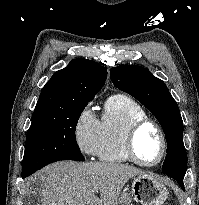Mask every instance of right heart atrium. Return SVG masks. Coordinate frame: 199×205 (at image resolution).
<instances>
[{
    "mask_svg": "<svg viewBox=\"0 0 199 205\" xmlns=\"http://www.w3.org/2000/svg\"><path fill=\"white\" fill-rule=\"evenodd\" d=\"M99 121L92 111L91 104L80 113L74 130L75 142L79 150L87 155H96Z\"/></svg>",
    "mask_w": 199,
    "mask_h": 205,
    "instance_id": "1",
    "label": "right heart atrium"
}]
</instances>
